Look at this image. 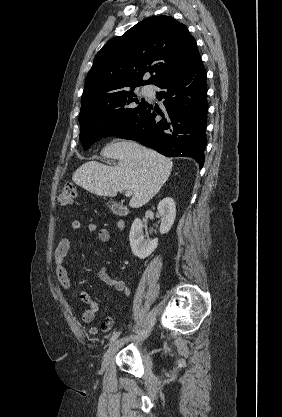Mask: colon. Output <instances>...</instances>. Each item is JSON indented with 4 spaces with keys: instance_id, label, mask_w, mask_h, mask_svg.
<instances>
[{
    "instance_id": "5ec220e1",
    "label": "colon",
    "mask_w": 282,
    "mask_h": 417,
    "mask_svg": "<svg viewBox=\"0 0 282 417\" xmlns=\"http://www.w3.org/2000/svg\"><path fill=\"white\" fill-rule=\"evenodd\" d=\"M76 195V186L73 183L62 185L57 194V202L61 206L70 205L74 202Z\"/></svg>"
}]
</instances>
